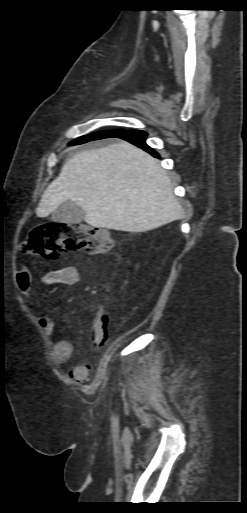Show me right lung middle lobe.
Here are the masks:
<instances>
[{
  "label": "right lung middle lobe",
  "mask_w": 247,
  "mask_h": 513,
  "mask_svg": "<svg viewBox=\"0 0 247 513\" xmlns=\"http://www.w3.org/2000/svg\"><path fill=\"white\" fill-rule=\"evenodd\" d=\"M120 132H122V131H117V132H101V133L91 134V135H88V136L80 137L76 141H80V144H82V143L89 142V141H92V140L107 138L110 135H115V134H118Z\"/></svg>",
  "instance_id": "1"
}]
</instances>
